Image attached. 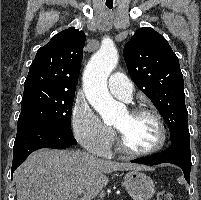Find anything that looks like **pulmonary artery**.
Instances as JSON below:
<instances>
[{"instance_id":"1","label":"pulmonary artery","mask_w":201,"mask_h":200,"mask_svg":"<svg viewBox=\"0 0 201 200\" xmlns=\"http://www.w3.org/2000/svg\"><path fill=\"white\" fill-rule=\"evenodd\" d=\"M108 87L112 95L124 101H129L133 95L131 81L121 73H113L108 80Z\"/></svg>"}]
</instances>
